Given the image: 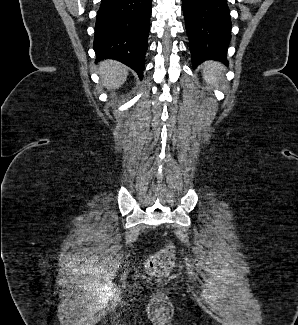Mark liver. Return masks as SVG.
<instances>
[{
    "instance_id": "6515ba94",
    "label": "liver",
    "mask_w": 298,
    "mask_h": 325,
    "mask_svg": "<svg viewBox=\"0 0 298 325\" xmlns=\"http://www.w3.org/2000/svg\"><path fill=\"white\" fill-rule=\"evenodd\" d=\"M98 74L103 78L105 88H119L128 76V68L117 60H102L99 64Z\"/></svg>"
}]
</instances>
